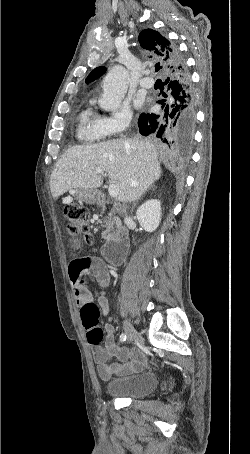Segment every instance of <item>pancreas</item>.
<instances>
[{"instance_id":"obj_1","label":"pancreas","mask_w":250,"mask_h":454,"mask_svg":"<svg viewBox=\"0 0 250 454\" xmlns=\"http://www.w3.org/2000/svg\"><path fill=\"white\" fill-rule=\"evenodd\" d=\"M105 207H103V211ZM106 230L102 233V238L105 240H110L112 238V232L114 229V225L117 223V217L113 216L112 213L108 215V217L104 220Z\"/></svg>"}]
</instances>
